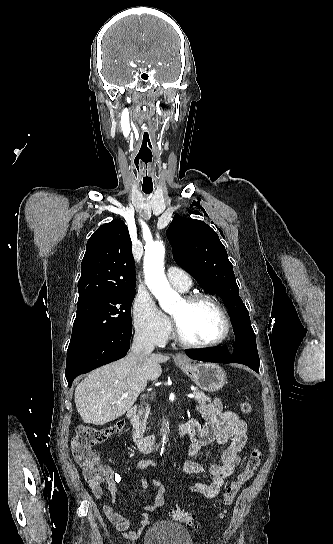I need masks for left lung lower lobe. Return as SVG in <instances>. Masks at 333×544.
Returning a JSON list of instances; mask_svg holds the SVG:
<instances>
[{
	"instance_id": "1",
	"label": "left lung lower lobe",
	"mask_w": 333,
	"mask_h": 544,
	"mask_svg": "<svg viewBox=\"0 0 333 544\" xmlns=\"http://www.w3.org/2000/svg\"><path fill=\"white\" fill-rule=\"evenodd\" d=\"M240 356L236 355V352L232 356H229L225 347H218L215 349L198 350L187 349L186 354L188 357L201 360V361H213L218 363H232L237 362L245 364L257 373H259V356L255 349H242Z\"/></svg>"
}]
</instances>
